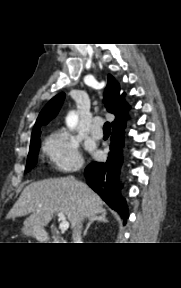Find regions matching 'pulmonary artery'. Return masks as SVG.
Instances as JSON below:
<instances>
[{"label": "pulmonary artery", "mask_w": 181, "mask_h": 288, "mask_svg": "<svg viewBox=\"0 0 181 288\" xmlns=\"http://www.w3.org/2000/svg\"><path fill=\"white\" fill-rule=\"evenodd\" d=\"M90 133L96 139H99L103 136V130L101 128V121L99 118L94 119L90 128Z\"/></svg>", "instance_id": "1"}]
</instances>
